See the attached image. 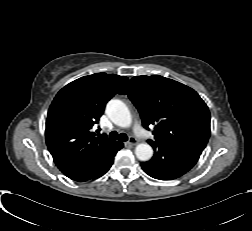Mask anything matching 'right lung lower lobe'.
<instances>
[{
	"label": "right lung lower lobe",
	"instance_id": "obj_1",
	"mask_svg": "<svg viewBox=\"0 0 252 231\" xmlns=\"http://www.w3.org/2000/svg\"><path fill=\"white\" fill-rule=\"evenodd\" d=\"M122 147H123V145L118 150H120ZM116 152L110 158H108L105 161V163L103 164V166L101 167V169L98 171V173L93 178L101 177L102 175H104L109 170V168L113 164V160H114V156H115Z\"/></svg>",
	"mask_w": 252,
	"mask_h": 231
}]
</instances>
